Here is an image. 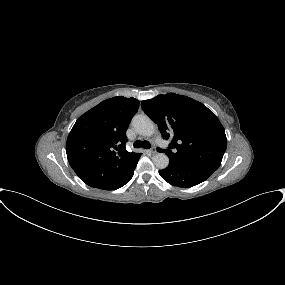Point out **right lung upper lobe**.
<instances>
[{
	"label": "right lung upper lobe",
	"mask_w": 285,
	"mask_h": 285,
	"mask_svg": "<svg viewBox=\"0 0 285 285\" xmlns=\"http://www.w3.org/2000/svg\"><path fill=\"white\" fill-rule=\"evenodd\" d=\"M138 108L135 98L113 97L77 119L67 138L66 153L84 183L104 189L134 171L141 153L126 150L125 132Z\"/></svg>",
	"instance_id": "right-lung-upper-lobe-1"
}]
</instances>
